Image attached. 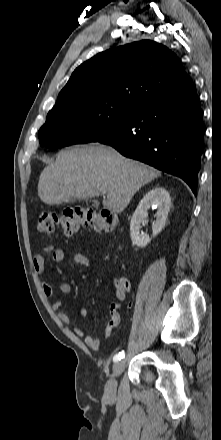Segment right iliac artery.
Returning <instances> with one entry per match:
<instances>
[{
    "label": "right iliac artery",
    "mask_w": 221,
    "mask_h": 440,
    "mask_svg": "<svg viewBox=\"0 0 221 440\" xmlns=\"http://www.w3.org/2000/svg\"><path fill=\"white\" fill-rule=\"evenodd\" d=\"M125 357V355H124V351H122V352H119L118 354H116L114 357H113V361L114 362H117V361H120L122 358H124Z\"/></svg>",
    "instance_id": "82829eb1"
}]
</instances>
